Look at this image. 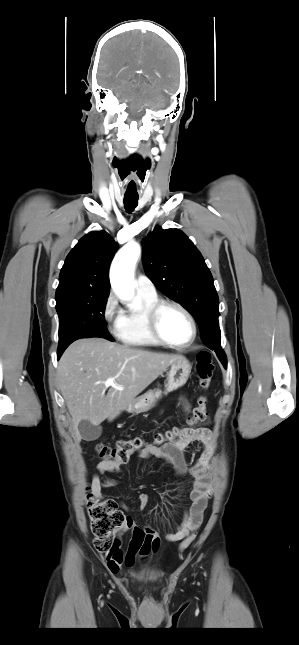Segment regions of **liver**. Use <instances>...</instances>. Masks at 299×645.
I'll use <instances>...</instances> for the list:
<instances>
[{
    "instance_id": "obj_1",
    "label": "liver",
    "mask_w": 299,
    "mask_h": 645,
    "mask_svg": "<svg viewBox=\"0 0 299 645\" xmlns=\"http://www.w3.org/2000/svg\"><path fill=\"white\" fill-rule=\"evenodd\" d=\"M183 358L102 338L73 342L59 360L57 383L72 416L76 440H81L78 425L82 420L93 425L106 419L113 421L169 366ZM108 378H114L122 389H108L104 384Z\"/></svg>"
}]
</instances>
